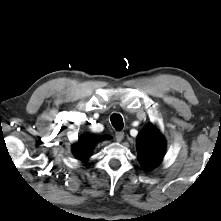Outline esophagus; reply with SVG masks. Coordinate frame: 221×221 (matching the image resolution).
<instances>
[{
  "mask_svg": "<svg viewBox=\"0 0 221 221\" xmlns=\"http://www.w3.org/2000/svg\"><path fill=\"white\" fill-rule=\"evenodd\" d=\"M115 137L118 142H121L124 138V132H116Z\"/></svg>",
  "mask_w": 221,
  "mask_h": 221,
  "instance_id": "obj_1",
  "label": "esophagus"
}]
</instances>
